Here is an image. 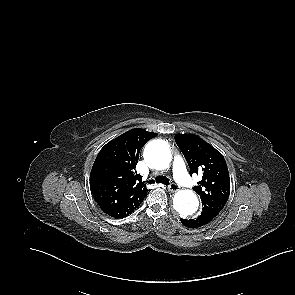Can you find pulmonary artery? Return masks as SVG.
Returning <instances> with one entry per match:
<instances>
[{"label":"pulmonary artery","mask_w":295,"mask_h":295,"mask_svg":"<svg viewBox=\"0 0 295 295\" xmlns=\"http://www.w3.org/2000/svg\"><path fill=\"white\" fill-rule=\"evenodd\" d=\"M173 174L176 179V181L185 187H193L194 182L190 178L184 160L181 156H175L173 160Z\"/></svg>","instance_id":"obj_1"}]
</instances>
